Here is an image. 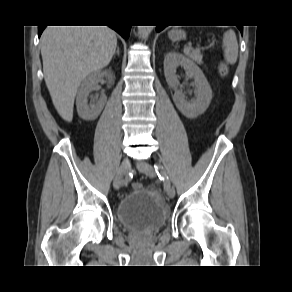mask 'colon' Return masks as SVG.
Returning a JSON list of instances; mask_svg holds the SVG:
<instances>
[{
	"label": "colon",
	"mask_w": 292,
	"mask_h": 292,
	"mask_svg": "<svg viewBox=\"0 0 292 292\" xmlns=\"http://www.w3.org/2000/svg\"><path fill=\"white\" fill-rule=\"evenodd\" d=\"M227 72H228V68H227V66H226L225 64H221V66H220V73H221V75H226ZM141 187H142V185H141V183H139V182H134V183L132 184V188H133L134 190L140 189Z\"/></svg>",
	"instance_id": "5ec220e1"
}]
</instances>
